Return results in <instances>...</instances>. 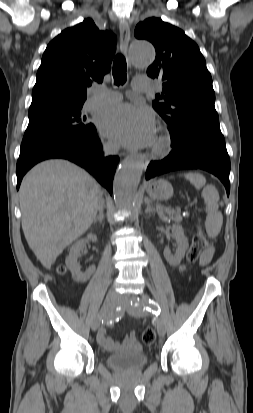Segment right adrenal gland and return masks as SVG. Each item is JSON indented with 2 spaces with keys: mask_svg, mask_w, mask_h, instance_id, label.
<instances>
[{
  "mask_svg": "<svg viewBox=\"0 0 253 413\" xmlns=\"http://www.w3.org/2000/svg\"><path fill=\"white\" fill-rule=\"evenodd\" d=\"M103 218H104L103 211H100V212H99V215L94 219L93 223H96V222L102 223V222H103Z\"/></svg>",
  "mask_w": 253,
  "mask_h": 413,
  "instance_id": "obj_1",
  "label": "right adrenal gland"
}]
</instances>
